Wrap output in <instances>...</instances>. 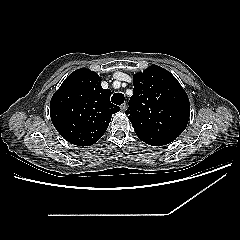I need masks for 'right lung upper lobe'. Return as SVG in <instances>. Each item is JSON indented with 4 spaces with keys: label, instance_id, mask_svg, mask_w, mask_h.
<instances>
[{
    "label": "right lung upper lobe",
    "instance_id": "1",
    "mask_svg": "<svg viewBox=\"0 0 240 240\" xmlns=\"http://www.w3.org/2000/svg\"><path fill=\"white\" fill-rule=\"evenodd\" d=\"M110 96L96 72L86 68L72 72L50 102L54 127L74 145L94 144L107 130L111 115L120 110L110 102Z\"/></svg>",
    "mask_w": 240,
    "mask_h": 240
}]
</instances>
